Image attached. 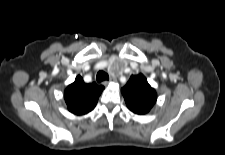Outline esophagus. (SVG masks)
Returning a JSON list of instances; mask_svg holds the SVG:
<instances>
[{
  "label": "esophagus",
  "mask_w": 225,
  "mask_h": 155,
  "mask_svg": "<svg viewBox=\"0 0 225 155\" xmlns=\"http://www.w3.org/2000/svg\"><path fill=\"white\" fill-rule=\"evenodd\" d=\"M115 80V78H110L109 80L104 81L103 85L107 86L109 83L114 82Z\"/></svg>",
  "instance_id": "1"
}]
</instances>
